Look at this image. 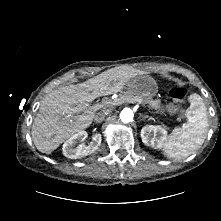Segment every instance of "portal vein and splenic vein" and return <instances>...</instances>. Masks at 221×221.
<instances>
[{"label": "portal vein and splenic vein", "mask_w": 221, "mask_h": 221, "mask_svg": "<svg viewBox=\"0 0 221 221\" xmlns=\"http://www.w3.org/2000/svg\"><path fill=\"white\" fill-rule=\"evenodd\" d=\"M131 102L132 103L134 102V103L142 104V101L140 99H137V98L132 99Z\"/></svg>", "instance_id": "portal-vein-and-splenic-vein-1"}]
</instances>
